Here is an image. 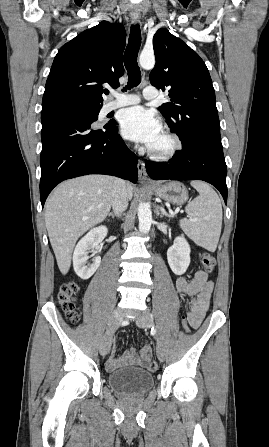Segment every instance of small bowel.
<instances>
[{
    "label": "small bowel",
    "mask_w": 269,
    "mask_h": 447,
    "mask_svg": "<svg viewBox=\"0 0 269 447\" xmlns=\"http://www.w3.org/2000/svg\"><path fill=\"white\" fill-rule=\"evenodd\" d=\"M175 288L180 294L191 298L189 320L194 328L199 327L210 306L214 281L209 278L205 271L197 270L193 273L191 280L177 278ZM142 348L143 346L139 356H137L134 348H130L120 357H116L115 349H112L107 361V368L114 370L128 363H135L139 367L146 368V363L151 361L152 356H143Z\"/></svg>",
    "instance_id": "small-bowel-1"
}]
</instances>
